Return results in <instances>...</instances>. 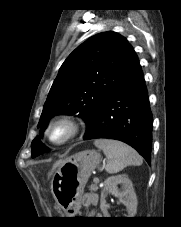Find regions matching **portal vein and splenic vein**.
Listing matches in <instances>:
<instances>
[{
  "mask_svg": "<svg viewBox=\"0 0 181 227\" xmlns=\"http://www.w3.org/2000/svg\"><path fill=\"white\" fill-rule=\"evenodd\" d=\"M94 183H99V179L98 178H94Z\"/></svg>",
  "mask_w": 181,
  "mask_h": 227,
  "instance_id": "1",
  "label": "portal vein and splenic vein"
}]
</instances>
